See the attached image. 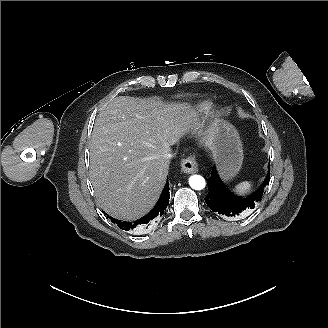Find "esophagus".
Masks as SVG:
<instances>
[{
  "label": "esophagus",
  "mask_w": 328,
  "mask_h": 328,
  "mask_svg": "<svg viewBox=\"0 0 328 328\" xmlns=\"http://www.w3.org/2000/svg\"><path fill=\"white\" fill-rule=\"evenodd\" d=\"M181 170L186 174L198 171V163L194 155H190L181 161Z\"/></svg>",
  "instance_id": "34e87169"
}]
</instances>
